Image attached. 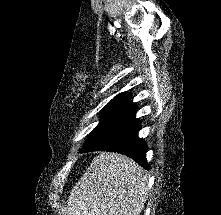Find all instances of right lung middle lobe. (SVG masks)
<instances>
[{"label": "right lung middle lobe", "mask_w": 221, "mask_h": 215, "mask_svg": "<svg viewBox=\"0 0 221 215\" xmlns=\"http://www.w3.org/2000/svg\"><path fill=\"white\" fill-rule=\"evenodd\" d=\"M101 121L97 125V127L93 130L91 136L86 142V145L98 138L99 136L103 135L110 129H112L117 123H119L122 118L120 117H115V116H106V115H101Z\"/></svg>", "instance_id": "dd1d6c3e"}]
</instances>
